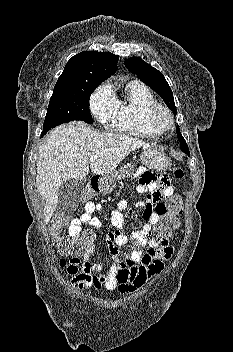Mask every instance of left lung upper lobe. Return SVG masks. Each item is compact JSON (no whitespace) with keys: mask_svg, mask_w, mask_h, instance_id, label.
Returning <instances> with one entry per match:
<instances>
[{"mask_svg":"<svg viewBox=\"0 0 233 352\" xmlns=\"http://www.w3.org/2000/svg\"><path fill=\"white\" fill-rule=\"evenodd\" d=\"M125 66L130 72L136 74L141 81L158 93L169 109L174 113H177L172 90L160 71L152 67L150 64H147L139 57H131L127 59L125 61ZM177 137L179 138L181 150L186 154H190L186 141L179 131V126L177 127Z\"/></svg>","mask_w":233,"mask_h":352,"instance_id":"left-lung-upper-lobe-1","label":"left lung upper lobe"}]
</instances>
